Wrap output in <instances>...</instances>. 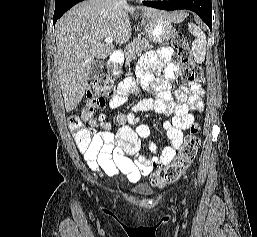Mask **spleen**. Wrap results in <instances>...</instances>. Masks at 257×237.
I'll use <instances>...</instances> for the list:
<instances>
[{"mask_svg":"<svg viewBox=\"0 0 257 237\" xmlns=\"http://www.w3.org/2000/svg\"><path fill=\"white\" fill-rule=\"evenodd\" d=\"M190 33L195 36V40L192 43V52L194 60L197 63H203L206 55V35L203 31L193 23L188 24Z\"/></svg>","mask_w":257,"mask_h":237,"instance_id":"spleen-1","label":"spleen"}]
</instances>
